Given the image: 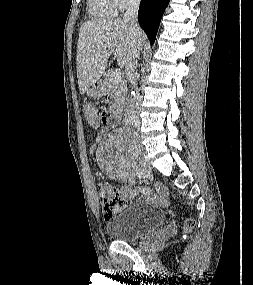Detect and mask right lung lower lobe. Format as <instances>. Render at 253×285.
<instances>
[{"instance_id": "right-lung-lower-lobe-1", "label": "right lung lower lobe", "mask_w": 253, "mask_h": 285, "mask_svg": "<svg viewBox=\"0 0 253 285\" xmlns=\"http://www.w3.org/2000/svg\"><path fill=\"white\" fill-rule=\"evenodd\" d=\"M169 0H141L138 11V21L146 32L151 44L154 43L156 33Z\"/></svg>"}]
</instances>
